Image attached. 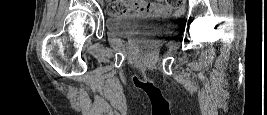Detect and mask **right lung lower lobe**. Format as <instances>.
Wrapping results in <instances>:
<instances>
[{"instance_id": "98d812e1", "label": "right lung lower lobe", "mask_w": 267, "mask_h": 115, "mask_svg": "<svg viewBox=\"0 0 267 115\" xmlns=\"http://www.w3.org/2000/svg\"><path fill=\"white\" fill-rule=\"evenodd\" d=\"M141 88H143V89L146 90V91H150V90H151V89L148 88V87H141Z\"/></svg>"}]
</instances>
